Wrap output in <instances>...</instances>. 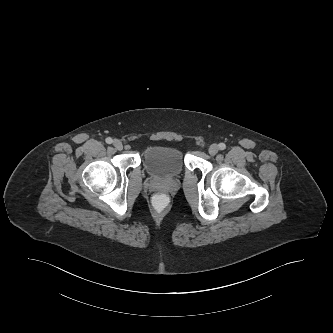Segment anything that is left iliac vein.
<instances>
[{"label": "left iliac vein", "mask_w": 333, "mask_h": 333, "mask_svg": "<svg viewBox=\"0 0 333 333\" xmlns=\"http://www.w3.org/2000/svg\"><path fill=\"white\" fill-rule=\"evenodd\" d=\"M218 150H219L218 146L216 144H212L209 147L208 152H209L210 155L214 156L218 153Z\"/></svg>", "instance_id": "obj_1"}]
</instances>
